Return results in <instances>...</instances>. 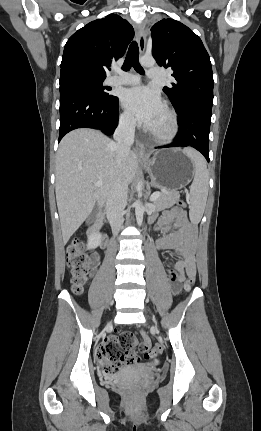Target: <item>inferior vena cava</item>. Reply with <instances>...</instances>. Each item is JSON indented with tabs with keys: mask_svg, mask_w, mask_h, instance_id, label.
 <instances>
[{
	"mask_svg": "<svg viewBox=\"0 0 261 431\" xmlns=\"http://www.w3.org/2000/svg\"><path fill=\"white\" fill-rule=\"evenodd\" d=\"M135 119L127 117L122 120L114 132L117 160L120 164L125 155L130 151L134 142ZM128 185L125 182L115 184L106 199V214L110 221L112 232L117 235L124 222V209L127 203Z\"/></svg>",
	"mask_w": 261,
	"mask_h": 431,
	"instance_id": "obj_1",
	"label": "inferior vena cava"
}]
</instances>
